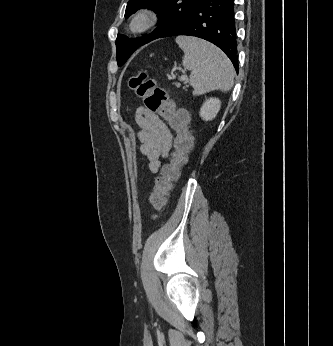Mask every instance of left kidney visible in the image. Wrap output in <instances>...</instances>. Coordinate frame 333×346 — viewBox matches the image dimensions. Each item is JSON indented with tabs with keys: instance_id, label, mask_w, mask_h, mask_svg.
<instances>
[{
	"instance_id": "1",
	"label": "left kidney",
	"mask_w": 333,
	"mask_h": 346,
	"mask_svg": "<svg viewBox=\"0 0 333 346\" xmlns=\"http://www.w3.org/2000/svg\"><path fill=\"white\" fill-rule=\"evenodd\" d=\"M221 107V102L217 98H210L206 100L201 109H200V116L205 121H210L214 119L219 112Z\"/></svg>"
}]
</instances>
